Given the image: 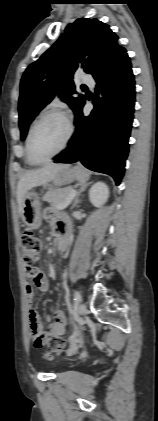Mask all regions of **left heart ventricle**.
I'll return each instance as SVG.
<instances>
[{"mask_svg":"<svg viewBox=\"0 0 158 421\" xmlns=\"http://www.w3.org/2000/svg\"><path fill=\"white\" fill-rule=\"evenodd\" d=\"M66 135L67 124L62 117L51 115L43 119L35 128L31 140L34 157L38 160L50 157L61 147Z\"/></svg>","mask_w":158,"mask_h":421,"instance_id":"obj_1","label":"left heart ventricle"}]
</instances>
